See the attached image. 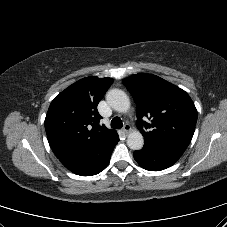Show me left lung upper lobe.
I'll use <instances>...</instances> for the list:
<instances>
[{
  "mask_svg": "<svg viewBox=\"0 0 227 227\" xmlns=\"http://www.w3.org/2000/svg\"><path fill=\"white\" fill-rule=\"evenodd\" d=\"M122 82L136 103V125L144 143L166 145L184 152L197 122V110L190 96L152 74L139 73ZM145 117L151 123L143 121Z\"/></svg>",
  "mask_w": 227,
  "mask_h": 227,
  "instance_id": "5c2ea615",
  "label": "left lung upper lobe"
}]
</instances>
